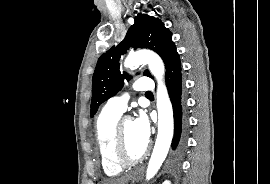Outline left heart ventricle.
I'll return each instance as SVG.
<instances>
[{
    "instance_id": "b2bd125f",
    "label": "left heart ventricle",
    "mask_w": 270,
    "mask_h": 184,
    "mask_svg": "<svg viewBox=\"0 0 270 184\" xmlns=\"http://www.w3.org/2000/svg\"><path fill=\"white\" fill-rule=\"evenodd\" d=\"M124 136L127 153L131 157H138L145 150L147 142L140 137L133 120L125 123Z\"/></svg>"
}]
</instances>
